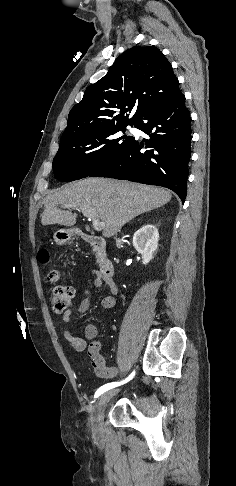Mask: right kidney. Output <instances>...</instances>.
Segmentation results:
<instances>
[{"label":"right kidney","mask_w":236,"mask_h":486,"mask_svg":"<svg viewBox=\"0 0 236 486\" xmlns=\"http://www.w3.org/2000/svg\"><path fill=\"white\" fill-rule=\"evenodd\" d=\"M159 240L158 229L151 224L141 227L134 233L133 246L142 255V263L148 264L153 259Z\"/></svg>","instance_id":"right-kidney-1"}]
</instances>
